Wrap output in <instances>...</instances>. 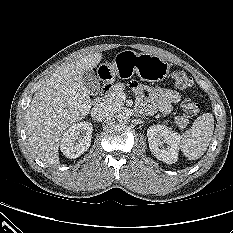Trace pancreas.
Instances as JSON below:
<instances>
[{
    "instance_id": "cf45deb5",
    "label": "pancreas",
    "mask_w": 233,
    "mask_h": 233,
    "mask_svg": "<svg viewBox=\"0 0 233 233\" xmlns=\"http://www.w3.org/2000/svg\"><path fill=\"white\" fill-rule=\"evenodd\" d=\"M124 92V85L122 83H117L112 87V89L107 93L105 100L111 107H120L123 105V100L120 98V94ZM175 123L178 125L179 129L182 130L186 128L189 123L187 118L182 116L175 117Z\"/></svg>"
}]
</instances>
